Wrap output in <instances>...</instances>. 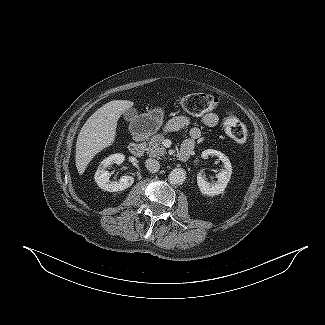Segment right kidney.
Here are the masks:
<instances>
[{
	"label": "right kidney",
	"instance_id": "obj_1",
	"mask_svg": "<svg viewBox=\"0 0 325 325\" xmlns=\"http://www.w3.org/2000/svg\"><path fill=\"white\" fill-rule=\"evenodd\" d=\"M124 160L125 156L120 153L112 154L107 158L103 159L95 173V182L101 189L109 192H117L125 190L128 187L132 186V184L134 183V178L132 176L124 175L120 178L118 182H111L109 180L111 174L105 170L109 165L115 163L122 164Z\"/></svg>",
	"mask_w": 325,
	"mask_h": 325
}]
</instances>
